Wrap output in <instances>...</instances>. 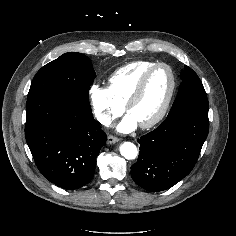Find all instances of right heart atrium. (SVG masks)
<instances>
[{
    "mask_svg": "<svg viewBox=\"0 0 236 236\" xmlns=\"http://www.w3.org/2000/svg\"><path fill=\"white\" fill-rule=\"evenodd\" d=\"M89 99L96 120L104 126H109L124 111V105L115 99L107 87L92 85Z\"/></svg>",
    "mask_w": 236,
    "mask_h": 236,
    "instance_id": "right-heart-atrium-1",
    "label": "right heart atrium"
}]
</instances>
